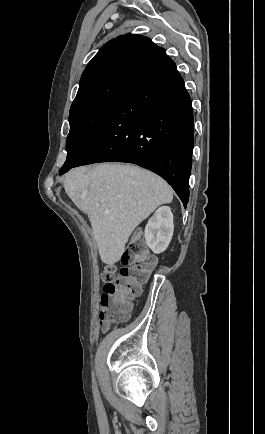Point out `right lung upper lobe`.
Instances as JSON below:
<instances>
[{
    "mask_svg": "<svg viewBox=\"0 0 265 434\" xmlns=\"http://www.w3.org/2000/svg\"><path fill=\"white\" fill-rule=\"evenodd\" d=\"M163 48L149 38L126 34L107 42L86 66L80 86L116 74H132L144 70L162 54Z\"/></svg>",
    "mask_w": 265,
    "mask_h": 434,
    "instance_id": "cb5924a9",
    "label": "right lung upper lobe"
}]
</instances>
